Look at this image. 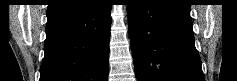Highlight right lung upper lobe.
<instances>
[{
  "label": "right lung upper lobe",
  "instance_id": "1",
  "mask_svg": "<svg viewBox=\"0 0 237 81\" xmlns=\"http://www.w3.org/2000/svg\"><path fill=\"white\" fill-rule=\"evenodd\" d=\"M68 0H51V3L48 5V8L62 4Z\"/></svg>",
  "mask_w": 237,
  "mask_h": 81
}]
</instances>
